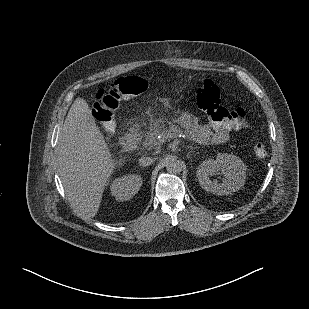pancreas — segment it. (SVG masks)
Listing matches in <instances>:
<instances>
[{"label": "pancreas", "mask_w": 309, "mask_h": 309, "mask_svg": "<svg viewBox=\"0 0 309 309\" xmlns=\"http://www.w3.org/2000/svg\"><path fill=\"white\" fill-rule=\"evenodd\" d=\"M164 134L166 136L165 129L153 128L145 132L142 136V145L145 148L158 150L163 142V139H158V135Z\"/></svg>", "instance_id": "pancreas-1"}]
</instances>
